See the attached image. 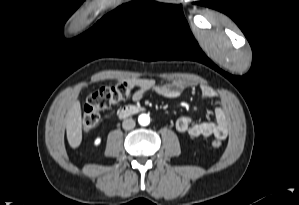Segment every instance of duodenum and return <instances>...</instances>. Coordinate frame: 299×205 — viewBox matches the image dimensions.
I'll return each mask as SVG.
<instances>
[{
	"label": "duodenum",
	"mask_w": 299,
	"mask_h": 205,
	"mask_svg": "<svg viewBox=\"0 0 299 205\" xmlns=\"http://www.w3.org/2000/svg\"><path fill=\"white\" fill-rule=\"evenodd\" d=\"M144 111V108L139 105H126L118 111L119 118H127L134 114Z\"/></svg>",
	"instance_id": "410a0bca"
}]
</instances>
